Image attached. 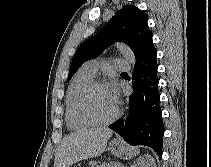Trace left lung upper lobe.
Instances as JSON below:
<instances>
[{"label":"left lung upper lobe","mask_w":211,"mask_h":167,"mask_svg":"<svg viewBox=\"0 0 211 167\" xmlns=\"http://www.w3.org/2000/svg\"><path fill=\"white\" fill-rule=\"evenodd\" d=\"M147 20V15L139 8L125 5L99 33L79 47L70 66L68 81L83 62L97 57L106 47L117 41L125 42L130 46L136 64L145 59L155 49Z\"/></svg>","instance_id":"5c2ea615"}]
</instances>
